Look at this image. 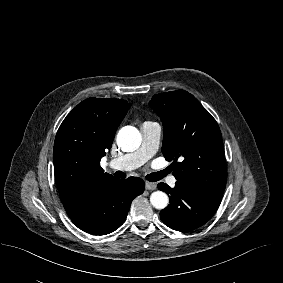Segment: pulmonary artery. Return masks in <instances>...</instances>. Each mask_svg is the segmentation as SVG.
I'll list each match as a JSON object with an SVG mask.
<instances>
[{
	"label": "pulmonary artery",
	"instance_id": "obj_1",
	"mask_svg": "<svg viewBox=\"0 0 283 283\" xmlns=\"http://www.w3.org/2000/svg\"><path fill=\"white\" fill-rule=\"evenodd\" d=\"M142 143L134 152L114 158L110 166L119 170L130 171L146 163L157 152L160 144L162 127L159 123L146 121L141 125ZM176 179L170 177L169 184L174 186Z\"/></svg>",
	"mask_w": 283,
	"mask_h": 283
}]
</instances>
